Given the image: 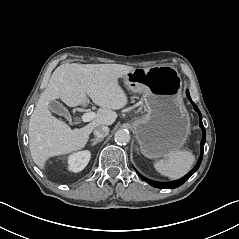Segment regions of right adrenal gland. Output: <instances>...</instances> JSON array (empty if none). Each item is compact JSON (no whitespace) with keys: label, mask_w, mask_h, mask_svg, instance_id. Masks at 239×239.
<instances>
[{"label":"right adrenal gland","mask_w":239,"mask_h":239,"mask_svg":"<svg viewBox=\"0 0 239 239\" xmlns=\"http://www.w3.org/2000/svg\"><path fill=\"white\" fill-rule=\"evenodd\" d=\"M104 139L103 138H96V139H93V140H91V142H92V147H94L97 143H99V142H101V141H103Z\"/></svg>","instance_id":"obj_1"}]
</instances>
